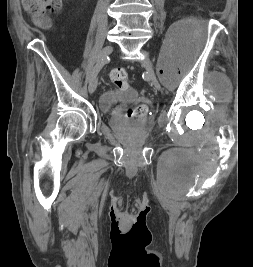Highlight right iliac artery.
Returning <instances> with one entry per match:
<instances>
[{
    "mask_svg": "<svg viewBox=\"0 0 253 267\" xmlns=\"http://www.w3.org/2000/svg\"><path fill=\"white\" fill-rule=\"evenodd\" d=\"M107 59H108V57H107ZM107 59H104V60L102 59V60L97 61L95 67L93 68V70L91 72L89 79H91L95 75V73H98V71L103 67V65L107 61Z\"/></svg>",
    "mask_w": 253,
    "mask_h": 267,
    "instance_id": "1",
    "label": "right iliac artery"
}]
</instances>
